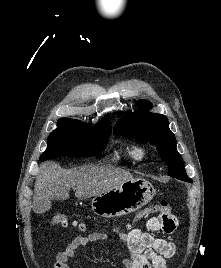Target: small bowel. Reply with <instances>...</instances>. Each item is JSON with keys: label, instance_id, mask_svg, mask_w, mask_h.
I'll return each mask as SVG.
<instances>
[{"label": "small bowel", "instance_id": "c3829d8e", "mask_svg": "<svg viewBox=\"0 0 221 268\" xmlns=\"http://www.w3.org/2000/svg\"><path fill=\"white\" fill-rule=\"evenodd\" d=\"M178 220L173 214L151 217L146 222V231L133 228L128 231L117 229V240L125 247L129 257L123 259L124 268H167V258L176 255L175 243L158 238L156 232L171 234L175 231ZM110 239L105 232H92L81 235L71 241L65 248L58 249L54 258V268H75L70 261L78 249L92 243Z\"/></svg>", "mask_w": 221, "mask_h": 268}]
</instances>
